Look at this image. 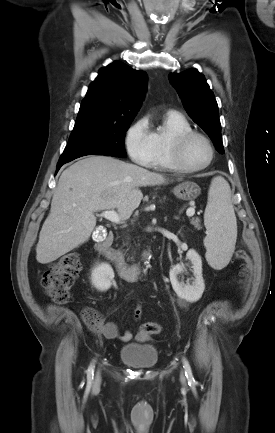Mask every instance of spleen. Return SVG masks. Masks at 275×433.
Returning <instances> with one entry per match:
<instances>
[{"label":"spleen","instance_id":"1","mask_svg":"<svg viewBox=\"0 0 275 433\" xmlns=\"http://www.w3.org/2000/svg\"><path fill=\"white\" fill-rule=\"evenodd\" d=\"M206 259L217 270L227 266L237 239V222L231 202V190L222 177L213 178L204 214Z\"/></svg>","mask_w":275,"mask_h":433}]
</instances>
